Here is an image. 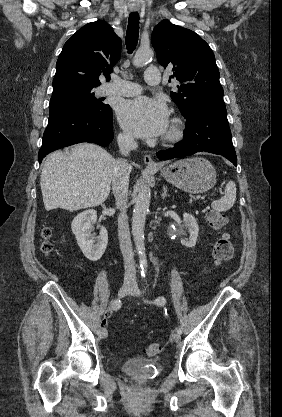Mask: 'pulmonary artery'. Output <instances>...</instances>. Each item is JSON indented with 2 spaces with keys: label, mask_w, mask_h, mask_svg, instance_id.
<instances>
[{
  "label": "pulmonary artery",
  "mask_w": 282,
  "mask_h": 417,
  "mask_svg": "<svg viewBox=\"0 0 282 417\" xmlns=\"http://www.w3.org/2000/svg\"><path fill=\"white\" fill-rule=\"evenodd\" d=\"M160 68L158 65H149L144 72V80L146 83L155 85L161 82V75L158 74ZM113 83L107 86L104 90L106 94H115L120 96H134L140 93L141 88L137 83L123 80L119 77H113Z\"/></svg>",
  "instance_id": "1"
}]
</instances>
